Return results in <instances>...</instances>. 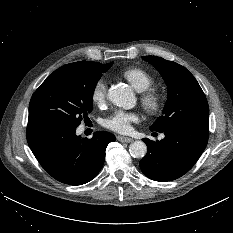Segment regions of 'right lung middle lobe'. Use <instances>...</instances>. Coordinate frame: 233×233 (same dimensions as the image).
I'll list each match as a JSON object with an SVG mask.
<instances>
[{"label":"right lung middle lobe","instance_id":"obj_1","mask_svg":"<svg viewBox=\"0 0 233 233\" xmlns=\"http://www.w3.org/2000/svg\"><path fill=\"white\" fill-rule=\"evenodd\" d=\"M111 66L80 61L58 68L32 95L28 120L56 121L78 127L92 111L98 80Z\"/></svg>","mask_w":233,"mask_h":233}]
</instances>
